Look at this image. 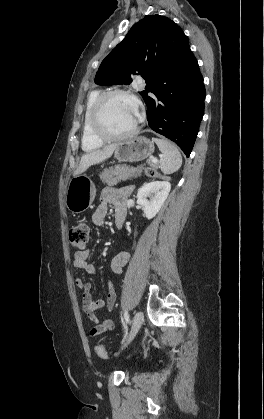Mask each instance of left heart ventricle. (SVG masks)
<instances>
[{"mask_svg": "<svg viewBox=\"0 0 264 419\" xmlns=\"http://www.w3.org/2000/svg\"><path fill=\"white\" fill-rule=\"evenodd\" d=\"M101 119L109 133H125L137 122V105L127 97L113 96L104 104Z\"/></svg>", "mask_w": 264, "mask_h": 419, "instance_id": "left-heart-ventricle-1", "label": "left heart ventricle"}]
</instances>
